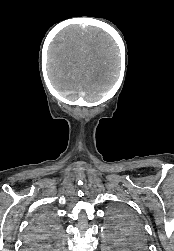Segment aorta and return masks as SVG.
I'll return each mask as SVG.
<instances>
[{"label": "aorta", "mask_w": 174, "mask_h": 251, "mask_svg": "<svg viewBox=\"0 0 174 251\" xmlns=\"http://www.w3.org/2000/svg\"><path fill=\"white\" fill-rule=\"evenodd\" d=\"M101 236L103 239V245L105 251H119L121 248L119 241L111 239V233L109 229L104 228L101 231Z\"/></svg>", "instance_id": "aorta-1"}]
</instances>
